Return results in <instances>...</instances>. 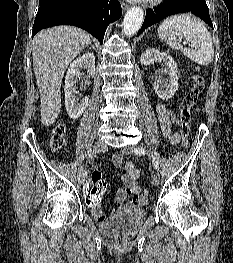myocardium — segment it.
Masks as SVG:
<instances>
[{
	"label": "myocardium",
	"instance_id": "myocardium-1",
	"mask_svg": "<svg viewBox=\"0 0 233 263\" xmlns=\"http://www.w3.org/2000/svg\"><path fill=\"white\" fill-rule=\"evenodd\" d=\"M163 0H144L145 5L147 6H156L160 4Z\"/></svg>",
	"mask_w": 233,
	"mask_h": 263
}]
</instances>
